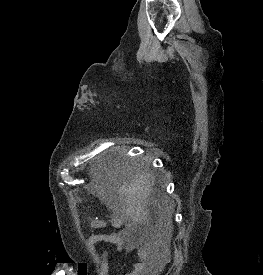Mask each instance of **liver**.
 Masks as SVG:
<instances>
[{"mask_svg":"<svg viewBox=\"0 0 263 275\" xmlns=\"http://www.w3.org/2000/svg\"><path fill=\"white\" fill-rule=\"evenodd\" d=\"M153 184L154 177L148 172H141L132 175L129 181L117 182L114 195H104L100 192V196L106 199L107 204L117 213L121 212L124 219L135 223L148 224L151 206H155L159 209L161 220L170 226L174 205L169 200H155Z\"/></svg>","mask_w":263,"mask_h":275,"instance_id":"obj_1","label":"liver"}]
</instances>
